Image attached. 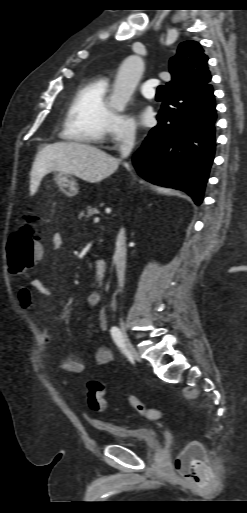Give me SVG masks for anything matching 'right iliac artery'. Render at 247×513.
<instances>
[{
	"instance_id": "1",
	"label": "right iliac artery",
	"mask_w": 247,
	"mask_h": 513,
	"mask_svg": "<svg viewBox=\"0 0 247 513\" xmlns=\"http://www.w3.org/2000/svg\"><path fill=\"white\" fill-rule=\"evenodd\" d=\"M110 331H111L112 338H113L114 342L116 343V345L120 348V350L123 353H126L127 348H126V344H125V341H124V338H123V335H122V332L120 331V329L116 326H113Z\"/></svg>"
}]
</instances>
